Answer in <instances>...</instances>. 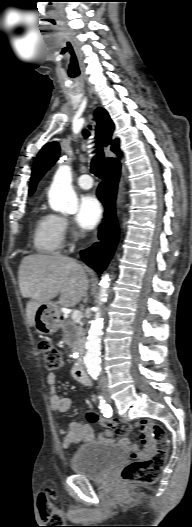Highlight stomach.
I'll return each instance as SVG.
<instances>
[{"label": "stomach", "mask_w": 192, "mask_h": 527, "mask_svg": "<svg viewBox=\"0 0 192 527\" xmlns=\"http://www.w3.org/2000/svg\"><path fill=\"white\" fill-rule=\"evenodd\" d=\"M59 318L60 312L55 303H42L35 314V328L41 334L55 333L60 328Z\"/></svg>", "instance_id": "1"}]
</instances>
